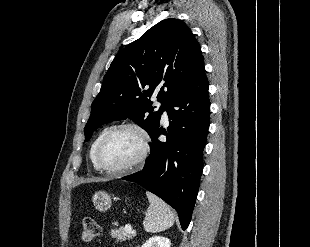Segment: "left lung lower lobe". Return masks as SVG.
I'll list each match as a JSON object with an SVG mask.
<instances>
[{"label": "left lung lower lobe", "instance_id": "1", "mask_svg": "<svg viewBox=\"0 0 310 247\" xmlns=\"http://www.w3.org/2000/svg\"><path fill=\"white\" fill-rule=\"evenodd\" d=\"M208 86L203 66L165 108L170 120L167 141H159L165 131L158 127L150 136L151 151L143 170L122 178L138 183L173 207L183 230L190 223L203 170L210 125Z\"/></svg>", "mask_w": 310, "mask_h": 247}]
</instances>
